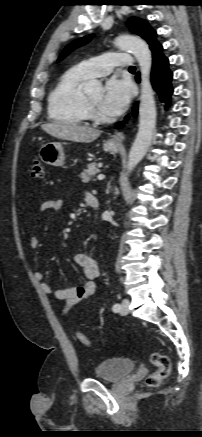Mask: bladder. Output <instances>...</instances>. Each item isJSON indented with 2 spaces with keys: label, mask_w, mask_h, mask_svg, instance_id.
<instances>
[{
  "label": "bladder",
  "mask_w": 202,
  "mask_h": 437,
  "mask_svg": "<svg viewBox=\"0 0 202 437\" xmlns=\"http://www.w3.org/2000/svg\"><path fill=\"white\" fill-rule=\"evenodd\" d=\"M135 368L136 363L130 358H111L95 366L94 376L108 382H119L130 375Z\"/></svg>",
  "instance_id": "bladder-1"
}]
</instances>
